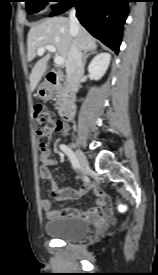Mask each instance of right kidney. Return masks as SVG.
I'll return each mask as SVG.
<instances>
[{"label":"right kidney","instance_id":"right-kidney-1","mask_svg":"<svg viewBox=\"0 0 158 275\" xmlns=\"http://www.w3.org/2000/svg\"><path fill=\"white\" fill-rule=\"evenodd\" d=\"M111 61L109 53H100L95 56L88 66V72L92 79L99 80L106 73Z\"/></svg>","mask_w":158,"mask_h":275}]
</instances>
